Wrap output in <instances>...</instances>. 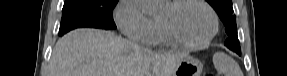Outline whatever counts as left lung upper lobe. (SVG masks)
<instances>
[{
    "label": "left lung upper lobe",
    "mask_w": 287,
    "mask_h": 76,
    "mask_svg": "<svg viewBox=\"0 0 287 76\" xmlns=\"http://www.w3.org/2000/svg\"><path fill=\"white\" fill-rule=\"evenodd\" d=\"M217 12L226 27L229 38L225 46L229 49L240 52V45L237 36L236 17L233 14L232 0H206Z\"/></svg>",
    "instance_id": "left-lung-upper-lobe-1"
}]
</instances>
